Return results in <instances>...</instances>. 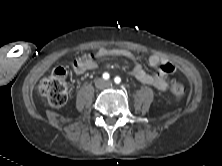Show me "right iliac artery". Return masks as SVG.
Here are the masks:
<instances>
[{
	"instance_id": "obj_1",
	"label": "right iliac artery",
	"mask_w": 222,
	"mask_h": 166,
	"mask_svg": "<svg viewBox=\"0 0 222 166\" xmlns=\"http://www.w3.org/2000/svg\"><path fill=\"white\" fill-rule=\"evenodd\" d=\"M110 78L109 74L107 72H105L103 74V79L108 80Z\"/></svg>"
}]
</instances>
